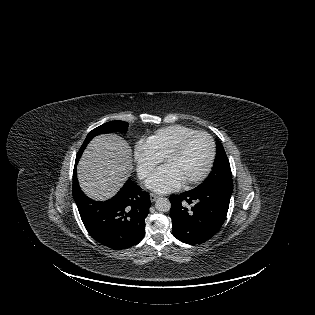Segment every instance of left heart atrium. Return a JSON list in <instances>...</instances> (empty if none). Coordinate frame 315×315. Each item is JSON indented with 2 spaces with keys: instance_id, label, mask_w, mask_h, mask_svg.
Here are the masks:
<instances>
[{
  "instance_id": "39dd6f15",
  "label": "left heart atrium",
  "mask_w": 315,
  "mask_h": 315,
  "mask_svg": "<svg viewBox=\"0 0 315 315\" xmlns=\"http://www.w3.org/2000/svg\"><path fill=\"white\" fill-rule=\"evenodd\" d=\"M183 183L181 177L170 167L157 169L146 181V186L159 193H167L177 189Z\"/></svg>"
}]
</instances>
